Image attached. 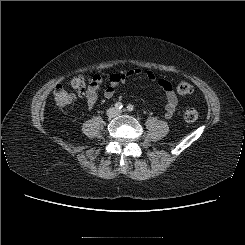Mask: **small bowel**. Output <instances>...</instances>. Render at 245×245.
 <instances>
[{
    "label": "small bowel",
    "mask_w": 245,
    "mask_h": 245,
    "mask_svg": "<svg viewBox=\"0 0 245 245\" xmlns=\"http://www.w3.org/2000/svg\"><path fill=\"white\" fill-rule=\"evenodd\" d=\"M141 70L138 68L130 69L125 72H118L113 73L108 78V86L105 88L103 95L105 98L110 99L115 95L116 88L126 81L128 78L132 76L139 75ZM146 77L154 81L155 75L153 72L149 71L146 73ZM158 86L163 90L165 97H166V105H165V118L170 119L177 107H178V97L173 89L172 84L164 79L160 78L157 80ZM103 84V79L100 76H94L91 82L90 87L84 93V97L86 99L87 107L89 110H92L98 100L99 96V89L100 86Z\"/></svg>",
    "instance_id": "1"
}]
</instances>
